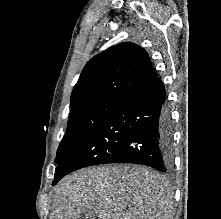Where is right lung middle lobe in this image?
I'll return each mask as SVG.
<instances>
[{"mask_svg": "<svg viewBox=\"0 0 221 219\" xmlns=\"http://www.w3.org/2000/svg\"><path fill=\"white\" fill-rule=\"evenodd\" d=\"M120 102V99L104 98L72 107L67 130L57 150L55 162L59 164L68 154L84 143Z\"/></svg>", "mask_w": 221, "mask_h": 219, "instance_id": "obj_1", "label": "right lung middle lobe"}]
</instances>
